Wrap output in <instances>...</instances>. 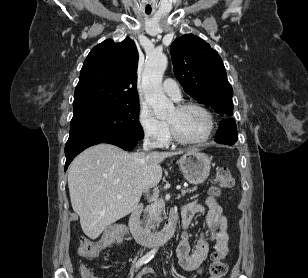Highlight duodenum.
Masks as SVG:
<instances>
[{
	"label": "duodenum",
	"mask_w": 308,
	"mask_h": 278,
	"mask_svg": "<svg viewBox=\"0 0 308 278\" xmlns=\"http://www.w3.org/2000/svg\"><path fill=\"white\" fill-rule=\"evenodd\" d=\"M143 207L138 205L130 215L129 229L134 239L143 245L157 247L168 241L175 233L178 217L172 212L165 226L158 232H149L140 225V216Z\"/></svg>",
	"instance_id": "410a0bca"
}]
</instances>
